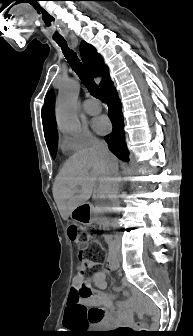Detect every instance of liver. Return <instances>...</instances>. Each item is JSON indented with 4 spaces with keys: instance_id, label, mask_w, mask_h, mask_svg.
Instances as JSON below:
<instances>
[{
    "instance_id": "obj_1",
    "label": "liver",
    "mask_w": 193,
    "mask_h": 336,
    "mask_svg": "<svg viewBox=\"0 0 193 336\" xmlns=\"http://www.w3.org/2000/svg\"><path fill=\"white\" fill-rule=\"evenodd\" d=\"M110 156L106 160L91 147L77 151L64 163L52 189L63 220L90 199L97 182L98 195L108 196L110 179L118 172V160L111 153Z\"/></svg>"
}]
</instances>
